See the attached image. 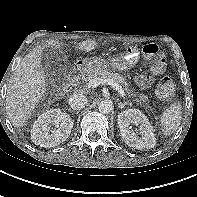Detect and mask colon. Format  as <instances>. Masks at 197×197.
<instances>
[{
  "mask_svg": "<svg viewBox=\"0 0 197 197\" xmlns=\"http://www.w3.org/2000/svg\"><path fill=\"white\" fill-rule=\"evenodd\" d=\"M143 55L150 60L152 70L155 73H162L166 69L167 60L164 52L154 43L147 44L142 49ZM175 86L169 77L160 80L157 87V95L164 100H171L174 97Z\"/></svg>",
  "mask_w": 197,
  "mask_h": 197,
  "instance_id": "colon-1",
  "label": "colon"
}]
</instances>
